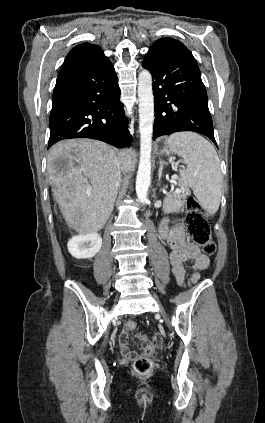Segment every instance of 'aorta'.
<instances>
[{"label": "aorta", "instance_id": "aorta-1", "mask_svg": "<svg viewBox=\"0 0 265 423\" xmlns=\"http://www.w3.org/2000/svg\"><path fill=\"white\" fill-rule=\"evenodd\" d=\"M140 160L136 178V194L140 203L145 204L151 181V150L154 122V96L152 75L142 69L138 75Z\"/></svg>", "mask_w": 265, "mask_h": 423}]
</instances>
